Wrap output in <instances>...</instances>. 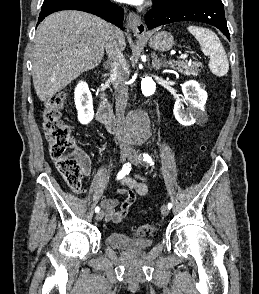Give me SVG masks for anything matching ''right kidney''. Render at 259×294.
Here are the masks:
<instances>
[{
	"label": "right kidney",
	"instance_id": "obj_1",
	"mask_svg": "<svg viewBox=\"0 0 259 294\" xmlns=\"http://www.w3.org/2000/svg\"><path fill=\"white\" fill-rule=\"evenodd\" d=\"M78 120L81 124H88L94 117L93 101L86 82L81 81L77 84L74 92Z\"/></svg>",
	"mask_w": 259,
	"mask_h": 294
}]
</instances>
